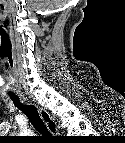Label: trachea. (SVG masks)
<instances>
[{
    "instance_id": "trachea-1",
    "label": "trachea",
    "mask_w": 125,
    "mask_h": 143,
    "mask_svg": "<svg viewBox=\"0 0 125 143\" xmlns=\"http://www.w3.org/2000/svg\"><path fill=\"white\" fill-rule=\"evenodd\" d=\"M10 98L13 101L14 105L22 112H24L31 124L40 134L52 138L50 131L46 127L44 121L41 119L36 107H34L33 105H23L16 95H10Z\"/></svg>"
}]
</instances>
